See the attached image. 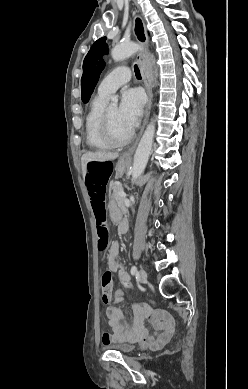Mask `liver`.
Returning a JSON list of instances; mask_svg holds the SVG:
<instances>
[{
	"instance_id": "obj_1",
	"label": "liver",
	"mask_w": 248,
	"mask_h": 389,
	"mask_svg": "<svg viewBox=\"0 0 248 389\" xmlns=\"http://www.w3.org/2000/svg\"><path fill=\"white\" fill-rule=\"evenodd\" d=\"M118 153L114 152H104V151H97V152H87L82 155L81 157V164H82V171L83 175L87 173V163L89 162H105L114 160L118 157Z\"/></svg>"
}]
</instances>
